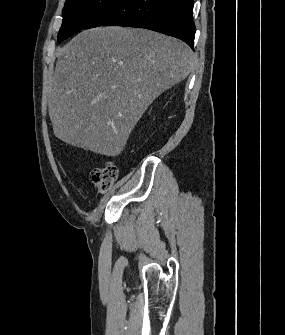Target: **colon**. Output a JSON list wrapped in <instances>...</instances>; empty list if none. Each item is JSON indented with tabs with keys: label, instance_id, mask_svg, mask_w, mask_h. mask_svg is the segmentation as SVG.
<instances>
[{
	"label": "colon",
	"instance_id": "obj_1",
	"mask_svg": "<svg viewBox=\"0 0 285 335\" xmlns=\"http://www.w3.org/2000/svg\"><path fill=\"white\" fill-rule=\"evenodd\" d=\"M118 178V169L115 164L109 162L101 167L94 168L91 172V179L97 190L106 192L112 187Z\"/></svg>",
	"mask_w": 285,
	"mask_h": 335
}]
</instances>
